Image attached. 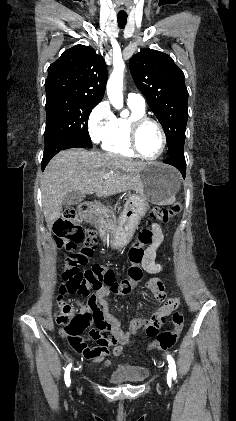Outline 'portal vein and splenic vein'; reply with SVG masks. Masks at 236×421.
I'll return each instance as SVG.
<instances>
[{
    "label": "portal vein and splenic vein",
    "instance_id": "obj_1",
    "mask_svg": "<svg viewBox=\"0 0 236 421\" xmlns=\"http://www.w3.org/2000/svg\"><path fill=\"white\" fill-rule=\"evenodd\" d=\"M103 178H110V174H103Z\"/></svg>",
    "mask_w": 236,
    "mask_h": 421
}]
</instances>
